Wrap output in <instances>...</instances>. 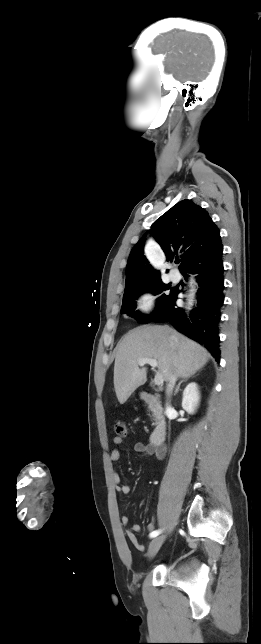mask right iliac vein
Masks as SVG:
<instances>
[{"mask_svg": "<svg viewBox=\"0 0 261 644\" xmlns=\"http://www.w3.org/2000/svg\"><path fill=\"white\" fill-rule=\"evenodd\" d=\"M164 540H165L164 536H159L154 538L150 542L149 549H148L149 558H152L156 555V553L159 551L160 547L162 546Z\"/></svg>", "mask_w": 261, "mask_h": 644, "instance_id": "obj_1", "label": "right iliac vein"}]
</instances>
